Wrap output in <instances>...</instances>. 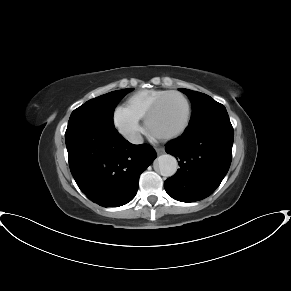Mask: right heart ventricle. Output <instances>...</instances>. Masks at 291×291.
Here are the masks:
<instances>
[{"instance_id":"right-heart-ventricle-1","label":"right heart ventricle","mask_w":291,"mask_h":291,"mask_svg":"<svg viewBox=\"0 0 291 291\" xmlns=\"http://www.w3.org/2000/svg\"><path fill=\"white\" fill-rule=\"evenodd\" d=\"M168 92V90L162 89L140 90L133 93L126 99L125 106L141 119L146 116L147 112L153 106V104L161 96Z\"/></svg>"}]
</instances>
